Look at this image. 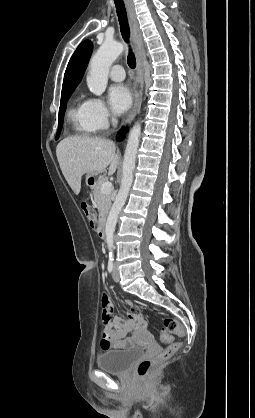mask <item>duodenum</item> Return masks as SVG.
I'll return each mask as SVG.
<instances>
[{"instance_id":"obj_1","label":"duodenum","mask_w":255,"mask_h":418,"mask_svg":"<svg viewBox=\"0 0 255 418\" xmlns=\"http://www.w3.org/2000/svg\"><path fill=\"white\" fill-rule=\"evenodd\" d=\"M106 225L107 218L106 216H102L97 225V234L100 238H104L106 236Z\"/></svg>"}]
</instances>
